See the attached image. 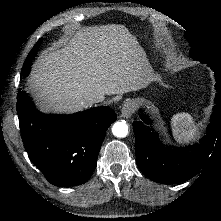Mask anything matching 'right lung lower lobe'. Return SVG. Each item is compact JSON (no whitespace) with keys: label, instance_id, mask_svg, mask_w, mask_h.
Segmentation results:
<instances>
[{"label":"right lung lower lobe","instance_id":"1","mask_svg":"<svg viewBox=\"0 0 221 221\" xmlns=\"http://www.w3.org/2000/svg\"><path fill=\"white\" fill-rule=\"evenodd\" d=\"M17 114L24 147L33 164L55 186L85 183L97 166V157L115 112L106 106L72 115L36 110L19 89Z\"/></svg>","mask_w":221,"mask_h":221}]
</instances>
